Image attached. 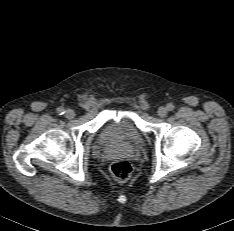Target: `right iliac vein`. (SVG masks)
<instances>
[{"mask_svg":"<svg viewBox=\"0 0 234 231\" xmlns=\"http://www.w3.org/2000/svg\"><path fill=\"white\" fill-rule=\"evenodd\" d=\"M65 117L67 119H73L75 117V112L72 109H67L65 112Z\"/></svg>","mask_w":234,"mask_h":231,"instance_id":"right-iliac-vein-1","label":"right iliac vein"}]
</instances>
